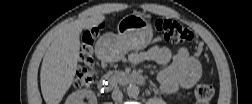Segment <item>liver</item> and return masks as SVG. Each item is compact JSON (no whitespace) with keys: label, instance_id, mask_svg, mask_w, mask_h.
Masks as SVG:
<instances>
[{"label":"liver","instance_id":"6515ba94","mask_svg":"<svg viewBox=\"0 0 252 104\" xmlns=\"http://www.w3.org/2000/svg\"><path fill=\"white\" fill-rule=\"evenodd\" d=\"M102 14L75 20L59 28L48 47L41 66L40 85L48 104H58L73 83L79 60L80 34L104 21Z\"/></svg>","mask_w":252,"mask_h":104}]
</instances>
